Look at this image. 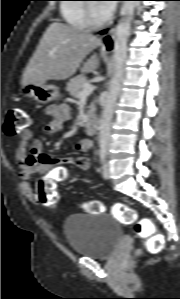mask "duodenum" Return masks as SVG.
Returning <instances> with one entry per match:
<instances>
[{
	"label": "duodenum",
	"mask_w": 180,
	"mask_h": 299,
	"mask_svg": "<svg viewBox=\"0 0 180 299\" xmlns=\"http://www.w3.org/2000/svg\"><path fill=\"white\" fill-rule=\"evenodd\" d=\"M88 134H95L98 128V121L96 119H89L85 125Z\"/></svg>",
	"instance_id": "obj_1"
}]
</instances>
